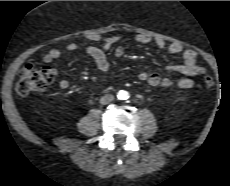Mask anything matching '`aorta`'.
<instances>
[{
  "mask_svg": "<svg viewBox=\"0 0 230 186\" xmlns=\"http://www.w3.org/2000/svg\"><path fill=\"white\" fill-rule=\"evenodd\" d=\"M117 97H118V99H120V100H126V99H128L129 94H128L127 91L121 90V91L118 92Z\"/></svg>",
  "mask_w": 230,
  "mask_h": 186,
  "instance_id": "1",
  "label": "aorta"
}]
</instances>
